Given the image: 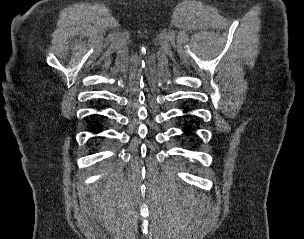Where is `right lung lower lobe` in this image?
I'll return each instance as SVG.
<instances>
[{
	"label": "right lung lower lobe",
	"mask_w": 304,
	"mask_h": 239,
	"mask_svg": "<svg viewBox=\"0 0 304 239\" xmlns=\"http://www.w3.org/2000/svg\"><path fill=\"white\" fill-rule=\"evenodd\" d=\"M93 131L94 132H100V128L98 126H96V127L93 128Z\"/></svg>",
	"instance_id": "1"
}]
</instances>
